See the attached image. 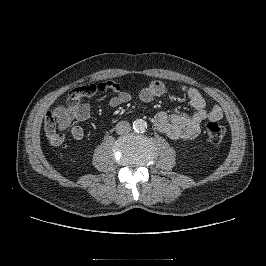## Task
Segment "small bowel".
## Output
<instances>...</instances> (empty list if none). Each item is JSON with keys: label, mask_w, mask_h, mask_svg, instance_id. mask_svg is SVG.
<instances>
[{"label": "small bowel", "mask_w": 266, "mask_h": 266, "mask_svg": "<svg viewBox=\"0 0 266 266\" xmlns=\"http://www.w3.org/2000/svg\"><path fill=\"white\" fill-rule=\"evenodd\" d=\"M166 91L165 85L158 80L152 81L140 92V99L144 103H150L155 98L163 95ZM180 92L188 99L190 106L194 109L193 114H168L159 112L155 115V128L173 140H190L200 133L201 123L206 120H220L223 111L219 106L206 109V102L201 93L194 87L183 85ZM131 99L129 93L121 91L107 101V105L117 107ZM52 121L46 119L45 134L52 145H61L66 137L64 131H69L75 140L84 137V131L79 126H72L73 121H86L90 118L91 108L85 98L76 96L68 98L66 105H59L51 112Z\"/></svg>", "instance_id": "c3829d8e"}]
</instances>
